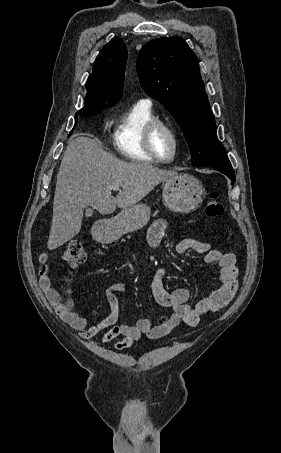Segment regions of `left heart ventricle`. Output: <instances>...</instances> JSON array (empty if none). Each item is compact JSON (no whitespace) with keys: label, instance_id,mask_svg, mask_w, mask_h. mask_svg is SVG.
I'll return each instance as SVG.
<instances>
[{"label":"left heart ventricle","instance_id":"obj_1","mask_svg":"<svg viewBox=\"0 0 281 453\" xmlns=\"http://www.w3.org/2000/svg\"><path fill=\"white\" fill-rule=\"evenodd\" d=\"M156 149L158 154L164 158L168 159L172 153V140L168 134L161 132L156 141Z\"/></svg>","mask_w":281,"mask_h":453}]
</instances>
